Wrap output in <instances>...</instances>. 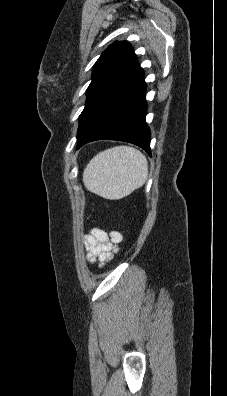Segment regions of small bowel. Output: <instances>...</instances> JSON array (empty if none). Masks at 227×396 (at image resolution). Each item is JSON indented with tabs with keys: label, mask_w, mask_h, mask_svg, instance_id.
I'll use <instances>...</instances> for the list:
<instances>
[{
	"label": "small bowel",
	"mask_w": 227,
	"mask_h": 396,
	"mask_svg": "<svg viewBox=\"0 0 227 396\" xmlns=\"http://www.w3.org/2000/svg\"><path fill=\"white\" fill-rule=\"evenodd\" d=\"M121 241L122 236L119 232L113 231L108 234L102 229L93 228L84 237L87 261L91 264H104L118 250Z\"/></svg>",
	"instance_id": "small-bowel-1"
}]
</instances>
